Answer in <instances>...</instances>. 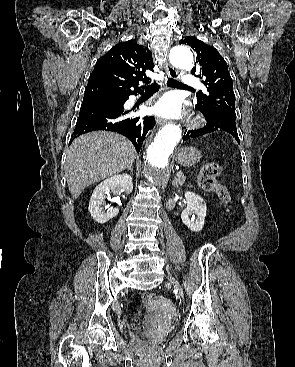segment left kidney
Masks as SVG:
<instances>
[{"mask_svg": "<svg viewBox=\"0 0 295 367\" xmlns=\"http://www.w3.org/2000/svg\"><path fill=\"white\" fill-rule=\"evenodd\" d=\"M187 207L181 214L183 223L193 232H199L204 226L206 217V203L202 197L190 191L185 192ZM191 213L196 215V218Z\"/></svg>", "mask_w": 295, "mask_h": 367, "instance_id": "obj_1", "label": "left kidney"}]
</instances>
